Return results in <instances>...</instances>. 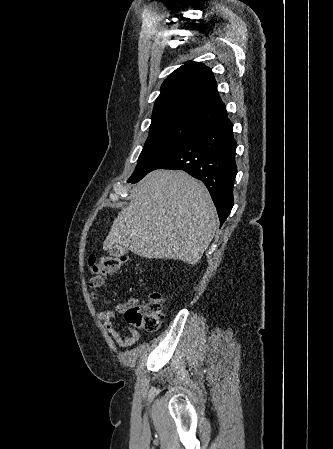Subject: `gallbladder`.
I'll return each instance as SVG.
<instances>
[{"label":"gallbladder","mask_w":333,"mask_h":449,"mask_svg":"<svg viewBox=\"0 0 333 449\" xmlns=\"http://www.w3.org/2000/svg\"><path fill=\"white\" fill-rule=\"evenodd\" d=\"M127 252V249L124 247H114L112 249H109L108 253L111 256H122Z\"/></svg>","instance_id":"1"}]
</instances>
